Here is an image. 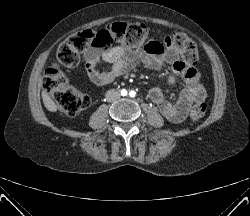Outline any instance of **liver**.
<instances>
[{"mask_svg": "<svg viewBox=\"0 0 250 216\" xmlns=\"http://www.w3.org/2000/svg\"><path fill=\"white\" fill-rule=\"evenodd\" d=\"M42 99H43V103L48 111H50V112L57 111V109H58L57 105L55 104V102L50 98V96L45 91L42 92Z\"/></svg>", "mask_w": 250, "mask_h": 216, "instance_id": "liver-1", "label": "liver"}]
</instances>
